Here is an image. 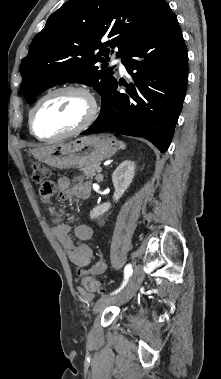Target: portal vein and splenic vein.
<instances>
[{
    "label": "portal vein and splenic vein",
    "mask_w": 221,
    "mask_h": 379,
    "mask_svg": "<svg viewBox=\"0 0 221 379\" xmlns=\"http://www.w3.org/2000/svg\"><path fill=\"white\" fill-rule=\"evenodd\" d=\"M101 171H102V169L99 167L98 170H97V172H101Z\"/></svg>",
    "instance_id": "obj_1"
}]
</instances>
